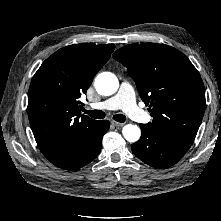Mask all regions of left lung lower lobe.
<instances>
[{"label": "left lung lower lobe", "mask_w": 221, "mask_h": 221, "mask_svg": "<svg viewBox=\"0 0 221 221\" xmlns=\"http://www.w3.org/2000/svg\"><path fill=\"white\" fill-rule=\"evenodd\" d=\"M141 138L131 145L136 157L156 168H167L177 163L193 144L194 138L172 130L140 124Z\"/></svg>", "instance_id": "obj_1"}]
</instances>
